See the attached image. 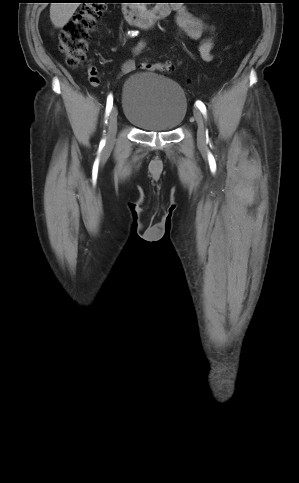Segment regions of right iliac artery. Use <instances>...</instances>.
Listing matches in <instances>:
<instances>
[{"instance_id":"82829eb1","label":"right iliac artery","mask_w":299,"mask_h":483,"mask_svg":"<svg viewBox=\"0 0 299 483\" xmlns=\"http://www.w3.org/2000/svg\"><path fill=\"white\" fill-rule=\"evenodd\" d=\"M137 35V32H132V36H135ZM112 105H113V97L112 95L110 94L107 98V104H106V116L109 115V112L111 111V108H112ZM101 145H104L105 144V141L102 140Z\"/></svg>"}]
</instances>
